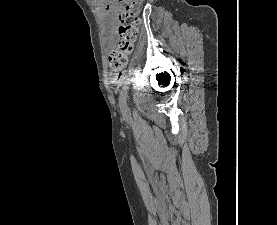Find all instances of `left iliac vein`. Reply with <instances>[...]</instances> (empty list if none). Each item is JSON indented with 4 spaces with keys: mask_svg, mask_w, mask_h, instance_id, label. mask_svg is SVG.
Segmentation results:
<instances>
[{
    "mask_svg": "<svg viewBox=\"0 0 277 225\" xmlns=\"http://www.w3.org/2000/svg\"><path fill=\"white\" fill-rule=\"evenodd\" d=\"M121 110L124 115L128 113L127 97H125L123 102L121 103Z\"/></svg>",
    "mask_w": 277,
    "mask_h": 225,
    "instance_id": "obj_1",
    "label": "left iliac vein"
}]
</instances>
